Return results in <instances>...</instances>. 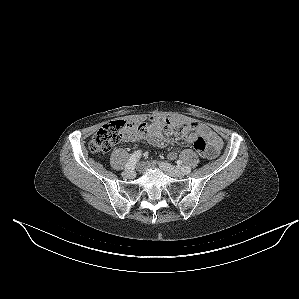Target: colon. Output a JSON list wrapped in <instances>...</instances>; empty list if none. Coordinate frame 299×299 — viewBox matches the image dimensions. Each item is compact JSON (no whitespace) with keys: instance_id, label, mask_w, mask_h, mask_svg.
<instances>
[{"instance_id":"obj_1","label":"colon","mask_w":299,"mask_h":299,"mask_svg":"<svg viewBox=\"0 0 299 299\" xmlns=\"http://www.w3.org/2000/svg\"><path fill=\"white\" fill-rule=\"evenodd\" d=\"M159 124L166 132H170L178 137L185 138L193 128L192 123L174 122L168 118H160ZM147 127L146 123H131L124 120L111 121L101 127L92 137L89 148L93 153L105 154L111 148L122 141L126 133L137 128L144 130ZM194 149L204 158L209 155L208 144L202 137H197L193 142Z\"/></svg>"}]
</instances>
